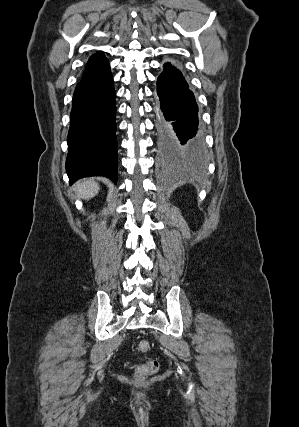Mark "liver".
<instances>
[{"label": "liver", "instance_id": "6515ba94", "mask_svg": "<svg viewBox=\"0 0 299 427\" xmlns=\"http://www.w3.org/2000/svg\"><path fill=\"white\" fill-rule=\"evenodd\" d=\"M100 190L97 182L92 179H86L81 182H77L74 185V191L77 195L85 200H89L94 197Z\"/></svg>", "mask_w": 299, "mask_h": 427}]
</instances>
